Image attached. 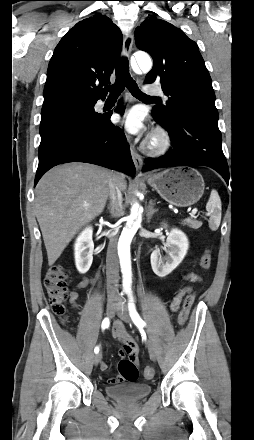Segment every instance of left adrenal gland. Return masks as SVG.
Listing matches in <instances>:
<instances>
[{
    "label": "left adrenal gland",
    "mask_w": 254,
    "mask_h": 440,
    "mask_svg": "<svg viewBox=\"0 0 254 440\" xmlns=\"http://www.w3.org/2000/svg\"><path fill=\"white\" fill-rule=\"evenodd\" d=\"M154 205H155V203L151 202L148 207V212H147V222L148 223L150 222V219L152 218L153 214L158 211V209H154Z\"/></svg>",
    "instance_id": "left-adrenal-gland-1"
}]
</instances>
